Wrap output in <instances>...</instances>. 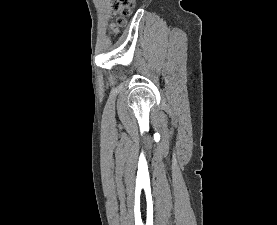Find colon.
Returning <instances> with one entry per match:
<instances>
[{
	"instance_id": "1",
	"label": "colon",
	"mask_w": 277,
	"mask_h": 225,
	"mask_svg": "<svg viewBox=\"0 0 277 225\" xmlns=\"http://www.w3.org/2000/svg\"><path fill=\"white\" fill-rule=\"evenodd\" d=\"M133 6L134 0H118L115 7L116 20L113 25L114 31L124 26L126 18L132 13Z\"/></svg>"
}]
</instances>
